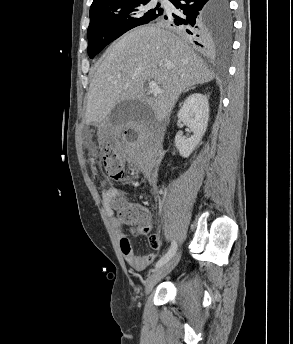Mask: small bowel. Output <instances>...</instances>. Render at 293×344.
<instances>
[{
  "label": "small bowel",
  "instance_id": "c3829d8e",
  "mask_svg": "<svg viewBox=\"0 0 293 344\" xmlns=\"http://www.w3.org/2000/svg\"><path fill=\"white\" fill-rule=\"evenodd\" d=\"M117 188L110 186L103 192L105 210L111 222V227L120 251L126 262L136 271L145 270L155 259V254L137 255L132 247L130 239L124 234L125 225L114 213L111 200L116 195ZM150 245L153 249L159 250L161 247V238L158 234H151L149 237Z\"/></svg>",
  "mask_w": 293,
  "mask_h": 344
}]
</instances>
